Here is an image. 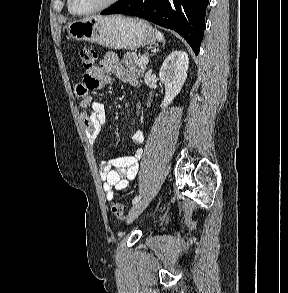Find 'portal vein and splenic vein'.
<instances>
[{"label": "portal vein and splenic vein", "mask_w": 288, "mask_h": 293, "mask_svg": "<svg viewBox=\"0 0 288 293\" xmlns=\"http://www.w3.org/2000/svg\"><path fill=\"white\" fill-rule=\"evenodd\" d=\"M139 61H140V63L145 64V65L149 63V60L146 56H141L139 58Z\"/></svg>", "instance_id": "1"}]
</instances>
